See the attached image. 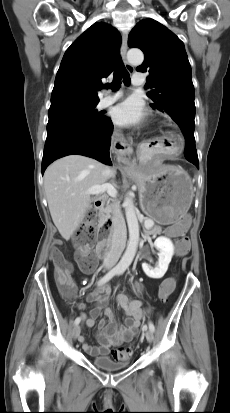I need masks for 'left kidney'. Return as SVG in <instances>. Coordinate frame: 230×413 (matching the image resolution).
<instances>
[{
	"mask_svg": "<svg viewBox=\"0 0 230 413\" xmlns=\"http://www.w3.org/2000/svg\"><path fill=\"white\" fill-rule=\"evenodd\" d=\"M154 245L159 250L158 264L155 268H151L146 263H143L142 269L148 277L159 279L164 276L168 269L169 263L171 262L174 254V246L172 241L165 236L158 237L155 240Z\"/></svg>",
	"mask_w": 230,
	"mask_h": 413,
	"instance_id": "left-kidney-1",
	"label": "left kidney"
}]
</instances>
